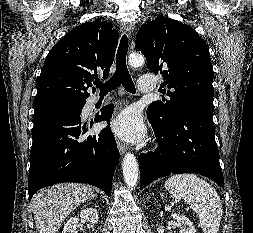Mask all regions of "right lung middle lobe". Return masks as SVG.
Instances as JSON below:
<instances>
[{"label": "right lung middle lobe", "mask_w": 253, "mask_h": 233, "mask_svg": "<svg viewBox=\"0 0 253 233\" xmlns=\"http://www.w3.org/2000/svg\"><path fill=\"white\" fill-rule=\"evenodd\" d=\"M85 104V101L69 100V99H51L34 104V111L44 109L49 106L61 105L74 108H81Z\"/></svg>", "instance_id": "1"}]
</instances>
